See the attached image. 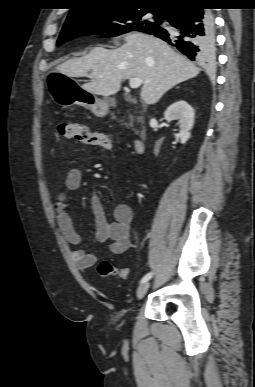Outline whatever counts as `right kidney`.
<instances>
[{
    "instance_id": "1",
    "label": "right kidney",
    "mask_w": 255,
    "mask_h": 387,
    "mask_svg": "<svg viewBox=\"0 0 255 387\" xmlns=\"http://www.w3.org/2000/svg\"><path fill=\"white\" fill-rule=\"evenodd\" d=\"M167 122L173 120L179 121V137L182 144H185L190 138V130L194 125V109L183 100L170 105L164 113Z\"/></svg>"
}]
</instances>
